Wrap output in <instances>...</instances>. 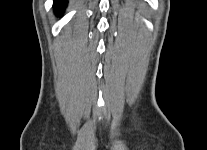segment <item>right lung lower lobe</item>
I'll list each match as a JSON object with an SVG mask.
<instances>
[{"label":"right lung lower lobe","mask_w":207,"mask_h":150,"mask_svg":"<svg viewBox=\"0 0 207 150\" xmlns=\"http://www.w3.org/2000/svg\"><path fill=\"white\" fill-rule=\"evenodd\" d=\"M67 5V0H54V9L57 14L61 15Z\"/></svg>","instance_id":"1"}]
</instances>
